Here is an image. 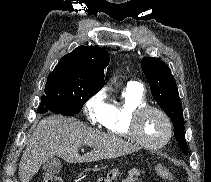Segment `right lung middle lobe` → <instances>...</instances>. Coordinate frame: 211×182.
I'll return each instance as SVG.
<instances>
[{
  "mask_svg": "<svg viewBox=\"0 0 211 182\" xmlns=\"http://www.w3.org/2000/svg\"><path fill=\"white\" fill-rule=\"evenodd\" d=\"M101 88L92 83L78 81L62 73H50L44 90L45 94L41 97V104L51 102L60 114L73 116Z\"/></svg>",
  "mask_w": 211,
  "mask_h": 182,
  "instance_id": "dd1d6c3e",
  "label": "right lung middle lobe"
}]
</instances>
